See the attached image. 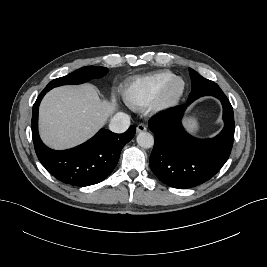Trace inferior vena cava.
Masks as SVG:
<instances>
[{"mask_svg": "<svg viewBox=\"0 0 267 267\" xmlns=\"http://www.w3.org/2000/svg\"><path fill=\"white\" fill-rule=\"evenodd\" d=\"M130 126V117L125 113L115 114L109 124V129L114 133H123Z\"/></svg>", "mask_w": 267, "mask_h": 267, "instance_id": "602c4592", "label": "inferior vena cava"}]
</instances>
